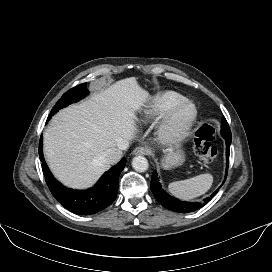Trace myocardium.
Returning <instances> with one entry per match:
<instances>
[{
	"label": "myocardium",
	"mask_w": 272,
	"mask_h": 272,
	"mask_svg": "<svg viewBox=\"0 0 272 272\" xmlns=\"http://www.w3.org/2000/svg\"><path fill=\"white\" fill-rule=\"evenodd\" d=\"M185 107H190L192 110V114L190 118L181 127H174L173 122L177 113ZM197 119H198V108L196 104L190 100L184 99L174 104L161 117L157 126L158 137L162 142L168 143V144L180 142L188 137Z\"/></svg>",
	"instance_id": "myocardium-1"
}]
</instances>
